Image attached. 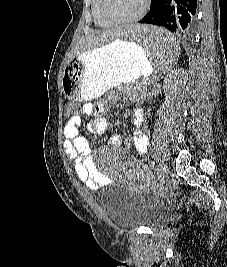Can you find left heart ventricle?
Returning <instances> with one entry per match:
<instances>
[{"mask_svg":"<svg viewBox=\"0 0 227 267\" xmlns=\"http://www.w3.org/2000/svg\"><path fill=\"white\" fill-rule=\"evenodd\" d=\"M144 0H108V11L117 19H126L136 15Z\"/></svg>","mask_w":227,"mask_h":267,"instance_id":"obj_1","label":"left heart ventricle"}]
</instances>
